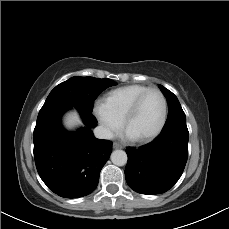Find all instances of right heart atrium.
I'll list each match as a JSON object with an SVG mask.
<instances>
[{"label":"right heart atrium","mask_w":229,"mask_h":229,"mask_svg":"<svg viewBox=\"0 0 229 229\" xmlns=\"http://www.w3.org/2000/svg\"><path fill=\"white\" fill-rule=\"evenodd\" d=\"M94 111L108 136H114L120 131L121 122L109 113L103 102H96Z\"/></svg>","instance_id":"d8ad5b80"}]
</instances>
